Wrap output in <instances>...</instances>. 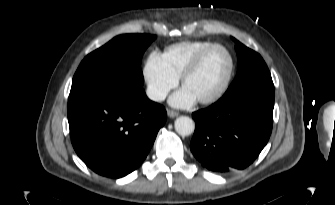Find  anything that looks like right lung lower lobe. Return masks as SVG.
<instances>
[{
	"label": "right lung lower lobe",
	"instance_id": "1",
	"mask_svg": "<svg viewBox=\"0 0 335 205\" xmlns=\"http://www.w3.org/2000/svg\"><path fill=\"white\" fill-rule=\"evenodd\" d=\"M165 108L143 90L93 92L68 100L72 145L94 172L111 178L134 171L166 121Z\"/></svg>",
	"mask_w": 335,
	"mask_h": 205
}]
</instances>
